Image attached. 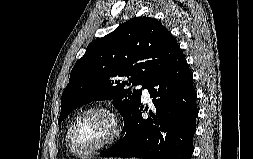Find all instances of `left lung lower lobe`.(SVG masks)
I'll return each mask as SVG.
<instances>
[{"mask_svg":"<svg viewBox=\"0 0 253 159\" xmlns=\"http://www.w3.org/2000/svg\"><path fill=\"white\" fill-rule=\"evenodd\" d=\"M154 111L143 119L140 104L124 123L126 135L102 157L191 159L197 94L187 61L179 50L146 85Z\"/></svg>","mask_w":253,"mask_h":159,"instance_id":"0a47b994","label":"left lung lower lobe"}]
</instances>
